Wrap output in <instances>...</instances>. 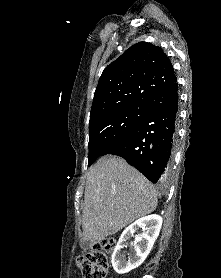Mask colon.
I'll list each match as a JSON object with an SVG mask.
<instances>
[{
    "label": "colon",
    "mask_w": 221,
    "mask_h": 278,
    "mask_svg": "<svg viewBox=\"0 0 221 278\" xmlns=\"http://www.w3.org/2000/svg\"><path fill=\"white\" fill-rule=\"evenodd\" d=\"M116 246L114 238L103 239L93 245L87 254L76 259L84 278H106L109 268V254Z\"/></svg>",
    "instance_id": "5ec220e1"
}]
</instances>
